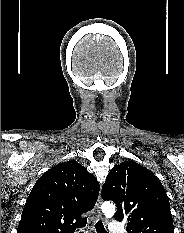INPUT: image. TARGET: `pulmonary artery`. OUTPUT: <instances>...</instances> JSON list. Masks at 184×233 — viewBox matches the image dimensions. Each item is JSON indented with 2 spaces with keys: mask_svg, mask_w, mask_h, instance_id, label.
<instances>
[{
  "mask_svg": "<svg viewBox=\"0 0 184 233\" xmlns=\"http://www.w3.org/2000/svg\"><path fill=\"white\" fill-rule=\"evenodd\" d=\"M109 232L110 233H126L124 226L118 222H112L109 225Z\"/></svg>",
  "mask_w": 184,
  "mask_h": 233,
  "instance_id": "obj_1",
  "label": "pulmonary artery"
}]
</instances>
